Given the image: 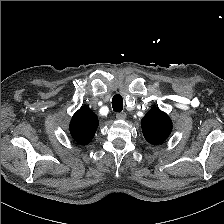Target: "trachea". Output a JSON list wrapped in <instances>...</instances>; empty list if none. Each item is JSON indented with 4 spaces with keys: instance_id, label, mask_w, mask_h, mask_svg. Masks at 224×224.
Returning a JSON list of instances; mask_svg holds the SVG:
<instances>
[{
    "instance_id": "3493384b",
    "label": "trachea",
    "mask_w": 224,
    "mask_h": 224,
    "mask_svg": "<svg viewBox=\"0 0 224 224\" xmlns=\"http://www.w3.org/2000/svg\"><path fill=\"white\" fill-rule=\"evenodd\" d=\"M112 107L115 112H121L123 110V98L121 95L116 94L112 98Z\"/></svg>"
}]
</instances>
